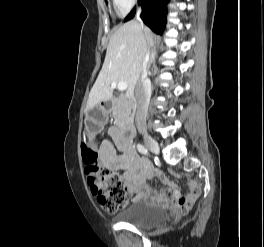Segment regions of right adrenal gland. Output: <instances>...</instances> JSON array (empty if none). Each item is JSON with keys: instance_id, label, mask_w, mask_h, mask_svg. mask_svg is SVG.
Listing matches in <instances>:
<instances>
[{"instance_id": "1", "label": "right adrenal gland", "mask_w": 264, "mask_h": 247, "mask_svg": "<svg viewBox=\"0 0 264 247\" xmlns=\"http://www.w3.org/2000/svg\"><path fill=\"white\" fill-rule=\"evenodd\" d=\"M156 56H157L156 51L155 50H152L151 51V54H150V64L155 61Z\"/></svg>"}]
</instances>
